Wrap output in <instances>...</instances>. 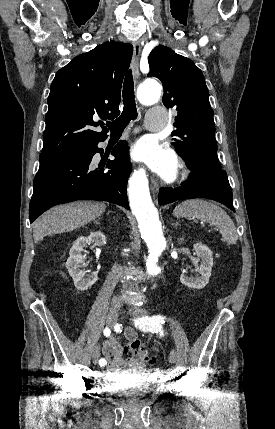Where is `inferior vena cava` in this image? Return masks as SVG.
Masks as SVG:
<instances>
[{"instance_id": "602c4592", "label": "inferior vena cava", "mask_w": 275, "mask_h": 429, "mask_svg": "<svg viewBox=\"0 0 275 429\" xmlns=\"http://www.w3.org/2000/svg\"><path fill=\"white\" fill-rule=\"evenodd\" d=\"M122 301H121V299L120 298H118V297H115L114 299H113V303H115V304H118V305H120V303H121Z\"/></svg>"}]
</instances>
